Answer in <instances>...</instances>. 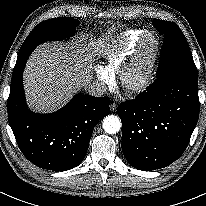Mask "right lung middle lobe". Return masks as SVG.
Segmentation results:
<instances>
[{
  "instance_id": "obj_1",
  "label": "right lung middle lobe",
  "mask_w": 206,
  "mask_h": 206,
  "mask_svg": "<svg viewBox=\"0 0 206 206\" xmlns=\"http://www.w3.org/2000/svg\"><path fill=\"white\" fill-rule=\"evenodd\" d=\"M78 20L70 17L54 18L38 24L28 35L20 48L16 67L28 58L32 50L48 40H62L74 35ZM17 69L14 68L12 77L16 76Z\"/></svg>"
}]
</instances>
